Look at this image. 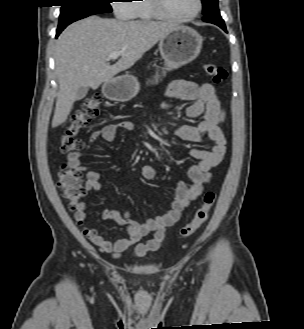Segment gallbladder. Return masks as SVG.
<instances>
[{
    "label": "gallbladder",
    "instance_id": "obj_1",
    "mask_svg": "<svg viewBox=\"0 0 304 329\" xmlns=\"http://www.w3.org/2000/svg\"><path fill=\"white\" fill-rule=\"evenodd\" d=\"M87 92H88L87 87H79L77 90L76 99L77 100L83 99L86 96Z\"/></svg>",
    "mask_w": 304,
    "mask_h": 329
}]
</instances>
